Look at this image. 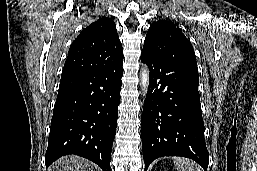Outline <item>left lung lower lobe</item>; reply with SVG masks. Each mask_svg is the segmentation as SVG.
<instances>
[{
  "mask_svg": "<svg viewBox=\"0 0 257 171\" xmlns=\"http://www.w3.org/2000/svg\"><path fill=\"white\" fill-rule=\"evenodd\" d=\"M141 61L150 71L142 114L144 171L163 156L193 159L207 171L198 71L167 54L142 52Z\"/></svg>",
  "mask_w": 257,
  "mask_h": 171,
  "instance_id": "obj_1",
  "label": "left lung lower lobe"
}]
</instances>
